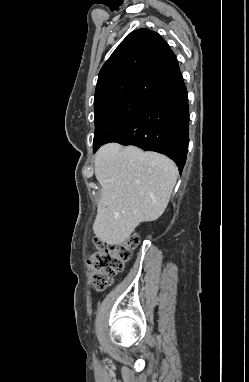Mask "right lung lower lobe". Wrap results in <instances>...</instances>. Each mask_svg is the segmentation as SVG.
<instances>
[{
    "mask_svg": "<svg viewBox=\"0 0 249 382\" xmlns=\"http://www.w3.org/2000/svg\"><path fill=\"white\" fill-rule=\"evenodd\" d=\"M188 125L187 90L181 76L150 99L144 109L106 143L135 145L165 154L176 162L181 173L188 151Z\"/></svg>",
    "mask_w": 249,
    "mask_h": 382,
    "instance_id": "1",
    "label": "right lung lower lobe"
}]
</instances>
